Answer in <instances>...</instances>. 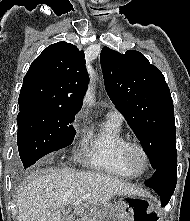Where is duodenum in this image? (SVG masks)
Wrapping results in <instances>:
<instances>
[{
    "mask_svg": "<svg viewBox=\"0 0 190 221\" xmlns=\"http://www.w3.org/2000/svg\"><path fill=\"white\" fill-rule=\"evenodd\" d=\"M77 221H89V218L85 217V218L79 219V220H77Z\"/></svg>",
    "mask_w": 190,
    "mask_h": 221,
    "instance_id": "duodenum-1",
    "label": "duodenum"
}]
</instances>
